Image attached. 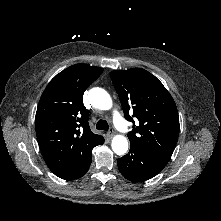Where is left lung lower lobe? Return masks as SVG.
I'll use <instances>...</instances> for the list:
<instances>
[{"mask_svg":"<svg viewBox=\"0 0 221 221\" xmlns=\"http://www.w3.org/2000/svg\"><path fill=\"white\" fill-rule=\"evenodd\" d=\"M169 162L143 148L130 145L129 153L118 159L121 174L132 182H143L157 175Z\"/></svg>","mask_w":221,"mask_h":221,"instance_id":"obj_1","label":"left lung lower lobe"}]
</instances>
